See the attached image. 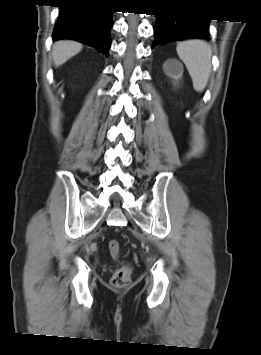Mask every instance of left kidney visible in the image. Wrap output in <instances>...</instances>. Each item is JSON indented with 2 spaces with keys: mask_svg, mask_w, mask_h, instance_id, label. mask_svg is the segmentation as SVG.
I'll list each match as a JSON object with an SVG mask.
<instances>
[{
  "mask_svg": "<svg viewBox=\"0 0 261 355\" xmlns=\"http://www.w3.org/2000/svg\"><path fill=\"white\" fill-rule=\"evenodd\" d=\"M179 77H180V76H177V77H176V76H174V78H175L176 80H177Z\"/></svg>",
  "mask_w": 261,
  "mask_h": 355,
  "instance_id": "1",
  "label": "left kidney"
}]
</instances>
